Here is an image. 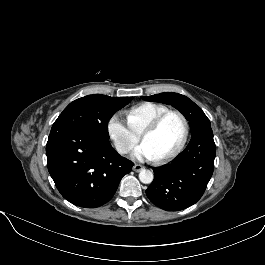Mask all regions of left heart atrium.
Wrapping results in <instances>:
<instances>
[{"label":"left heart atrium","instance_id":"left-heart-atrium-1","mask_svg":"<svg viewBox=\"0 0 265 265\" xmlns=\"http://www.w3.org/2000/svg\"><path fill=\"white\" fill-rule=\"evenodd\" d=\"M132 156L137 159H146V160H152L155 158L152 151L143 142L134 149Z\"/></svg>","mask_w":265,"mask_h":265}]
</instances>
